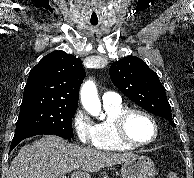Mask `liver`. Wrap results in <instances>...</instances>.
Here are the masks:
<instances>
[{"mask_svg": "<svg viewBox=\"0 0 194 178\" xmlns=\"http://www.w3.org/2000/svg\"><path fill=\"white\" fill-rule=\"evenodd\" d=\"M134 157L133 153L102 152L47 135L20 149L11 162L9 178H57L70 172L71 178H91L90 173Z\"/></svg>", "mask_w": 194, "mask_h": 178, "instance_id": "6515ba94", "label": "liver"}]
</instances>
